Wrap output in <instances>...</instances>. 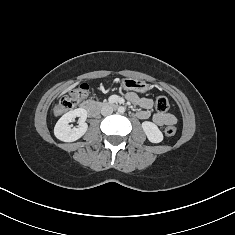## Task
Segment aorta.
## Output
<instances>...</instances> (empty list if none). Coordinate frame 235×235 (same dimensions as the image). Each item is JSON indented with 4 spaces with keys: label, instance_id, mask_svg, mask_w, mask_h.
<instances>
[{
    "label": "aorta",
    "instance_id": "1",
    "mask_svg": "<svg viewBox=\"0 0 235 235\" xmlns=\"http://www.w3.org/2000/svg\"><path fill=\"white\" fill-rule=\"evenodd\" d=\"M118 112H119V113H124V112H125V108L122 107V106H120V107L118 108Z\"/></svg>",
    "mask_w": 235,
    "mask_h": 235
}]
</instances>
